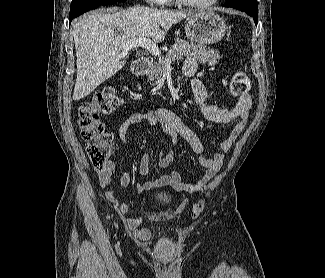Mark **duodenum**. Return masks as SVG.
<instances>
[{
    "label": "duodenum",
    "instance_id": "410a0bca",
    "mask_svg": "<svg viewBox=\"0 0 325 278\" xmlns=\"http://www.w3.org/2000/svg\"><path fill=\"white\" fill-rule=\"evenodd\" d=\"M150 67V61L146 58H138L135 60L132 68L133 75L137 78H141L145 75Z\"/></svg>",
    "mask_w": 325,
    "mask_h": 278
}]
</instances>
